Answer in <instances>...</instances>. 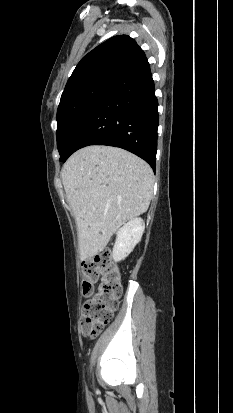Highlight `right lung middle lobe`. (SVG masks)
<instances>
[{"label": "right lung middle lobe", "instance_id": "right-lung-middle-lobe-1", "mask_svg": "<svg viewBox=\"0 0 233 413\" xmlns=\"http://www.w3.org/2000/svg\"><path fill=\"white\" fill-rule=\"evenodd\" d=\"M115 80L113 77L97 78L61 96L56 131L60 160L69 152L78 132Z\"/></svg>", "mask_w": 233, "mask_h": 413}]
</instances>
